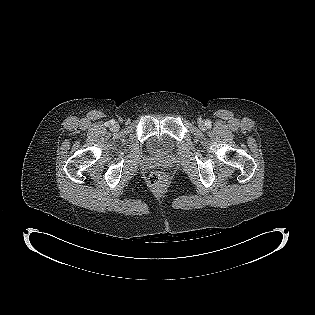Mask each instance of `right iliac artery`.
<instances>
[{
    "instance_id": "obj_1",
    "label": "right iliac artery",
    "mask_w": 315,
    "mask_h": 315,
    "mask_svg": "<svg viewBox=\"0 0 315 315\" xmlns=\"http://www.w3.org/2000/svg\"><path fill=\"white\" fill-rule=\"evenodd\" d=\"M114 123H115L114 120H110L109 123L107 124H114Z\"/></svg>"
}]
</instances>
